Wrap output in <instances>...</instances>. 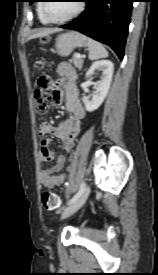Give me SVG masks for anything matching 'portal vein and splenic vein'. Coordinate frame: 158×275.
<instances>
[{"instance_id":"1","label":"portal vein and splenic vein","mask_w":158,"mask_h":275,"mask_svg":"<svg viewBox=\"0 0 158 275\" xmlns=\"http://www.w3.org/2000/svg\"><path fill=\"white\" fill-rule=\"evenodd\" d=\"M76 56H77L78 58H81V55H80V54H76Z\"/></svg>"}]
</instances>
